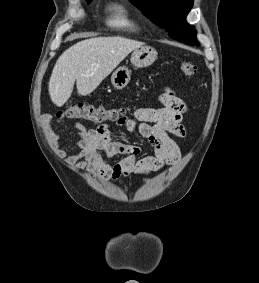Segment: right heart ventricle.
Segmentation results:
<instances>
[{
  "mask_svg": "<svg viewBox=\"0 0 259 283\" xmlns=\"http://www.w3.org/2000/svg\"><path fill=\"white\" fill-rule=\"evenodd\" d=\"M112 17L110 19V24L119 29H125L130 31H137L139 25L132 18L129 10L124 4H115L111 8Z\"/></svg>",
  "mask_w": 259,
  "mask_h": 283,
  "instance_id": "e07e8e85",
  "label": "right heart ventricle"
}]
</instances>
